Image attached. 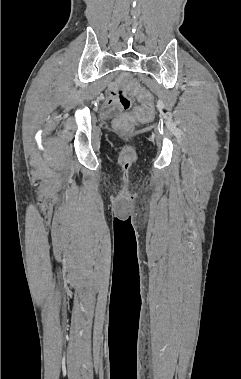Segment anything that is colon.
<instances>
[{"mask_svg":"<svg viewBox=\"0 0 241 379\" xmlns=\"http://www.w3.org/2000/svg\"><path fill=\"white\" fill-rule=\"evenodd\" d=\"M116 100L123 110H129L132 107V101L125 93L118 92ZM139 101L142 105L135 108L134 114H125L116 120L115 124L119 129L129 131L134 126L136 119L147 118L151 115L152 110L155 109V104L150 103L146 94L144 97H140Z\"/></svg>","mask_w":241,"mask_h":379,"instance_id":"5ec220e1","label":"colon"}]
</instances>
